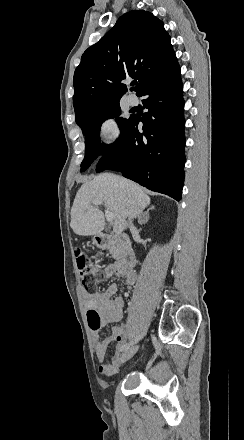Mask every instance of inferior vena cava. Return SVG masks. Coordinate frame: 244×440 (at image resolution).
<instances>
[{
  "label": "inferior vena cava",
  "mask_w": 244,
  "mask_h": 440,
  "mask_svg": "<svg viewBox=\"0 0 244 440\" xmlns=\"http://www.w3.org/2000/svg\"><path fill=\"white\" fill-rule=\"evenodd\" d=\"M127 226H130V228H133V224H132L131 220H129V222H127Z\"/></svg>",
  "instance_id": "obj_1"
}]
</instances>
